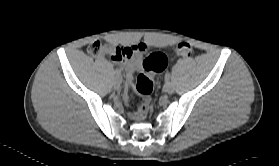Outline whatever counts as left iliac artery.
<instances>
[{
	"mask_svg": "<svg viewBox=\"0 0 279 166\" xmlns=\"http://www.w3.org/2000/svg\"><path fill=\"white\" fill-rule=\"evenodd\" d=\"M165 79H166L167 81L170 79V74H169V73H167V74L165 75Z\"/></svg>",
	"mask_w": 279,
	"mask_h": 166,
	"instance_id": "left-iliac-artery-1",
	"label": "left iliac artery"
}]
</instances>
